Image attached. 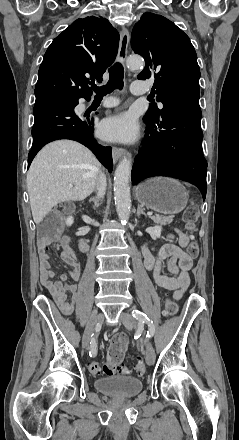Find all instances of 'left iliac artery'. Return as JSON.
<instances>
[{"label":"left iliac artery","instance_id":"1","mask_svg":"<svg viewBox=\"0 0 239 440\" xmlns=\"http://www.w3.org/2000/svg\"><path fill=\"white\" fill-rule=\"evenodd\" d=\"M132 315L135 319L138 320L139 323H146L148 325V331H147L146 337L152 338L155 333V326H154L152 320H150L147 317V315H145L143 312H141L139 310H133Z\"/></svg>","mask_w":239,"mask_h":440}]
</instances>
